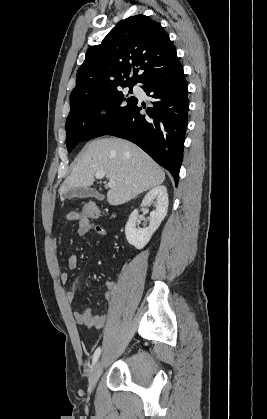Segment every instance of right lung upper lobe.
Returning a JSON list of instances; mask_svg holds the SVG:
<instances>
[{
    "label": "right lung upper lobe",
    "mask_w": 267,
    "mask_h": 419,
    "mask_svg": "<svg viewBox=\"0 0 267 419\" xmlns=\"http://www.w3.org/2000/svg\"><path fill=\"white\" fill-rule=\"evenodd\" d=\"M177 61L176 49L160 23L145 15L129 17L117 24L100 45L87 51L77 71L70 103L89 95L132 87L150 73Z\"/></svg>",
    "instance_id": "1"
}]
</instances>
